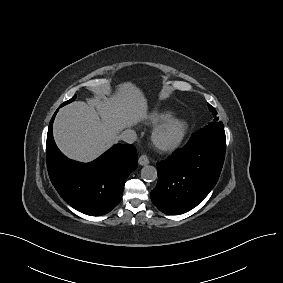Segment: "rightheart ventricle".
<instances>
[{
	"label": "right heart ventricle",
	"mask_w": 283,
	"mask_h": 283,
	"mask_svg": "<svg viewBox=\"0 0 283 283\" xmlns=\"http://www.w3.org/2000/svg\"><path fill=\"white\" fill-rule=\"evenodd\" d=\"M171 116L172 113L170 111H154L148 116L147 123L155 126Z\"/></svg>",
	"instance_id": "1"
}]
</instances>
